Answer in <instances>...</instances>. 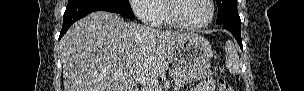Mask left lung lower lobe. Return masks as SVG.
I'll return each instance as SVG.
<instances>
[{
  "mask_svg": "<svg viewBox=\"0 0 304 91\" xmlns=\"http://www.w3.org/2000/svg\"><path fill=\"white\" fill-rule=\"evenodd\" d=\"M220 26L227 29L228 31H230L233 34V36L236 38L240 48L243 50L241 32H240L241 20L240 19L231 20V21L220 24Z\"/></svg>",
  "mask_w": 304,
  "mask_h": 91,
  "instance_id": "0a47b994",
  "label": "left lung lower lobe"
}]
</instances>
